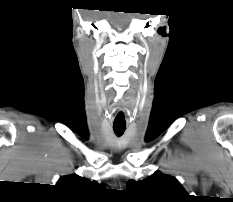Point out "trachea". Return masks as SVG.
Returning a JSON list of instances; mask_svg holds the SVG:
<instances>
[{
  "label": "trachea",
  "instance_id": "trachea-1",
  "mask_svg": "<svg viewBox=\"0 0 233 202\" xmlns=\"http://www.w3.org/2000/svg\"><path fill=\"white\" fill-rule=\"evenodd\" d=\"M126 129V125H113V130L116 135L121 136Z\"/></svg>",
  "mask_w": 233,
  "mask_h": 202
}]
</instances>
